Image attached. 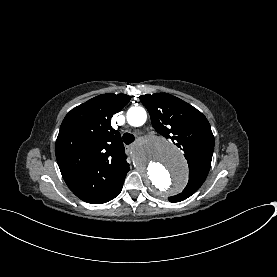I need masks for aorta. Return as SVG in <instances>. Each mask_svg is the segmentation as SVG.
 <instances>
[{
  "label": "aorta",
  "instance_id": "aorta-1",
  "mask_svg": "<svg viewBox=\"0 0 277 277\" xmlns=\"http://www.w3.org/2000/svg\"><path fill=\"white\" fill-rule=\"evenodd\" d=\"M147 118L141 106L127 111L131 126H142ZM135 167L151 193L159 198L180 191L187 183L188 169L181 151L169 141L157 136L141 138L133 152Z\"/></svg>",
  "mask_w": 277,
  "mask_h": 277
}]
</instances>
